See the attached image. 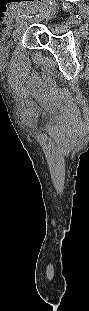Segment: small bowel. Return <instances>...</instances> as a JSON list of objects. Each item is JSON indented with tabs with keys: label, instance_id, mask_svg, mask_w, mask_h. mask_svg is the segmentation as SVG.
<instances>
[{
	"label": "small bowel",
	"instance_id": "small-bowel-1",
	"mask_svg": "<svg viewBox=\"0 0 89 311\" xmlns=\"http://www.w3.org/2000/svg\"><path fill=\"white\" fill-rule=\"evenodd\" d=\"M16 13H12L11 14V18L15 17Z\"/></svg>",
	"mask_w": 89,
	"mask_h": 311
}]
</instances>
